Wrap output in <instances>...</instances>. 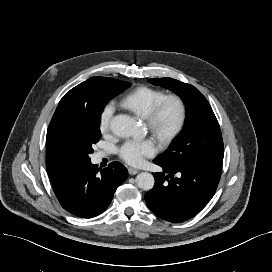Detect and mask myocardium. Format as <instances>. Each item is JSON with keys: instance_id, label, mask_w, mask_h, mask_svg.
<instances>
[{"instance_id": "myocardium-1", "label": "myocardium", "mask_w": 272, "mask_h": 272, "mask_svg": "<svg viewBox=\"0 0 272 272\" xmlns=\"http://www.w3.org/2000/svg\"><path fill=\"white\" fill-rule=\"evenodd\" d=\"M172 104L175 108V117L168 126L162 125V116L165 107ZM186 119V105L183 98L177 94L164 95L146 117L148 126L155 137L162 142L173 139L182 129Z\"/></svg>"}]
</instances>
